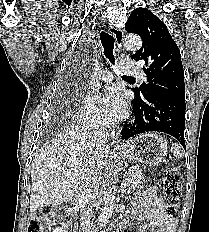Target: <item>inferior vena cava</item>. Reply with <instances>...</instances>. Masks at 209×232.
Returning <instances> with one entry per match:
<instances>
[{"label": "inferior vena cava", "mask_w": 209, "mask_h": 232, "mask_svg": "<svg viewBox=\"0 0 209 232\" xmlns=\"http://www.w3.org/2000/svg\"><path fill=\"white\" fill-rule=\"evenodd\" d=\"M94 138L99 142H103L105 139H107V132L104 130L97 131ZM101 172V167L99 165H95L85 179L83 192L79 198L81 232H92L93 204L98 196Z\"/></svg>", "instance_id": "1"}]
</instances>
